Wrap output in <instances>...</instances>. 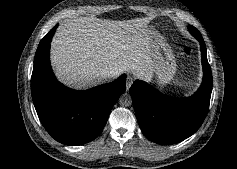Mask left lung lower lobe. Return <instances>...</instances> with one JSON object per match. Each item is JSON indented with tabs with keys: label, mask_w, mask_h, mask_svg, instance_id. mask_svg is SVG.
<instances>
[{
	"label": "left lung lower lobe",
	"mask_w": 237,
	"mask_h": 169,
	"mask_svg": "<svg viewBox=\"0 0 237 169\" xmlns=\"http://www.w3.org/2000/svg\"><path fill=\"white\" fill-rule=\"evenodd\" d=\"M189 31L200 42L204 73L203 82L193 96L170 98L139 80L130 88L139 126L144 135L155 143L174 144L188 138L201 126L208 111L212 74L206 46L201 34L190 28Z\"/></svg>",
	"instance_id": "obj_1"
}]
</instances>
